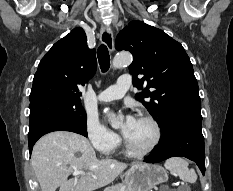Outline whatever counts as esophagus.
Masks as SVG:
<instances>
[{
	"label": "esophagus",
	"mask_w": 233,
	"mask_h": 191,
	"mask_svg": "<svg viewBox=\"0 0 233 191\" xmlns=\"http://www.w3.org/2000/svg\"><path fill=\"white\" fill-rule=\"evenodd\" d=\"M100 40H101V43L104 44L110 52H113L114 50L113 33L110 27L106 24L102 25Z\"/></svg>",
	"instance_id": "1"
}]
</instances>
